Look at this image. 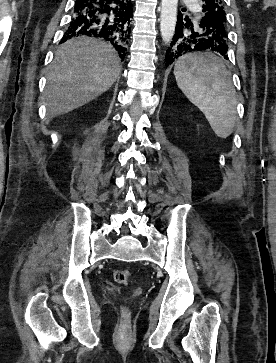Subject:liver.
Returning <instances> with one entry per match:
<instances>
[{
  "mask_svg": "<svg viewBox=\"0 0 276 363\" xmlns=\"http://www.w3.org/2000/svg\"><path fill=\"white\" fill-rule=\"evenodd\" d=\"M121 72L120 60L107 43L73 38L55 52L44 91L47 113L56 117L77 109L106 92Z\"/></svg>",
  "mask_w": 276,
  "mask_h": 363,
  "instance_id": "1",
  "label": "liver"
}]
</instances>
